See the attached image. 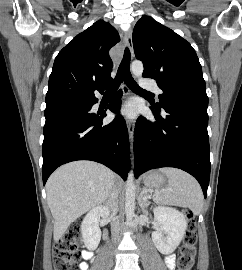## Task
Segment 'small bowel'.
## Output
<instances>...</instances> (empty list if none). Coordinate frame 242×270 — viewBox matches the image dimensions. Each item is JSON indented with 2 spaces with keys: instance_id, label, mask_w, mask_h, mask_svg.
<instances>
[{
  "instance_id": "small-bowel-1",
  "label": "small bowel",
  "mask_w": 242,
  "mask_h": 270,
  "mask_svg": "<svg viewBox=\"0 0 242 270\" xmlns=\"http://www.w3.org/2000/svg\"><path fill=\"white\" fill-rule=\"evenodd\" d=\"M82 256H83V258L85 260H88V259H90L93 256V253L91 251L84 250V251H82ZM165 263H166L167 267L170 270H172L174 268V265H175V256L174 255H168L165 258ZM79 268H80V270H87L88 265H87L86 262H82L79 265Z\"/></svg>"
}]
</instances>
